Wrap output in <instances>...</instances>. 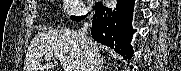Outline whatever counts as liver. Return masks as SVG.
Listing matches in <instances>:
<instances>
[{
	"instance_id": "obj_1",
	"label": "liver",
	"mask_w": 181,
	"mask_h": 71,
	"mask_svg": "<svg viewBox=\"0 0 181 71\" xmlns=\"http://www.w3.org/2000/svg\"><path fill=\"white\" fill-rule=\"evenodd\" d=\"M56 54L62 55L71 71L85 69L86 54L76 31L69 29L50 30L39 33L28 47L24 71H48L57 64ZM49 56V57H47ZM45 58L49 63L41 64ZM54 59V62H50Z\"/></svg>"
}]
</instances>
